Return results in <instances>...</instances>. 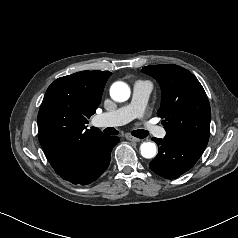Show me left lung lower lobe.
<instances>
[{
	"label": "left lung lower lobe",
	"mask_w": 238,
	"mask_h": 238,
	"mask_svg": "<svg viewBox=\"0 0 238 238\" xmlns=\"http://www.w3.org/2000/svg\"><path fill=\"white\" fill-rule=\"evenodd\" d=\"M159 147L157 156L150 162L156 174L175 179L190 170L204 152L206 146L184 138L166 135L164 139L153 138Z\"/></svg>",
	"instance_id": "left-lung-lower-lobe-1"
}]
</instances>
